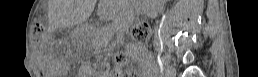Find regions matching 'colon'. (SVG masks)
Here are the masks:
<instances>
[{"label": "colon", "mask_w": 258, "mask_h": 77, "mask_svg": "<svg viewBox=\"0 0 258 77\" xmlns=\"http://www.w3.org/2000/svg\"><path fill=\"white\" fill-rule=\"evenodd\" d=\"M34 41L38 46H44L49 42V35L43 20H37L32 29ZM130 37L136 43H148L151 38V27L148 23H138L131 28ZM125 62L124 55L120 54L116 63L123 65Z\"/></svg>", "instance_id": "obj_1"}]
</instances>
